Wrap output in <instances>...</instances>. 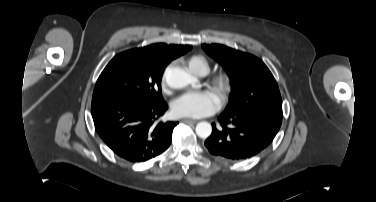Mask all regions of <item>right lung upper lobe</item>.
Masks as SVG:
<instances>
[{
  "label": "right lung upper lobe",
  "instance_id": "right-lung-upper-lobe-1",
  "mask_svg": "<svg viewBox=\"0 0 376 202\" xmlns=\"http://www.w3.org/2000/svg\"><path fill=\"white\" fill-rule=\"evenodd\" d=\"M191 48L190 45H167L164 43H156L135 50H137L146 60L151 70L160 71L164 70L173 59L185 54Z\"/></svg>",
  "mask_w": 376,
  "mask_h": 202
}]
</instances>
